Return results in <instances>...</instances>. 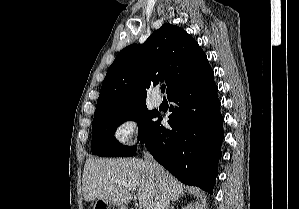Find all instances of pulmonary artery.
<instances>
[{"mask_svg": "<svg viewBox=\"0 0 299 209\" xmlns=\"http://www.w3.org/2000/svg\"><path fill=\"white\" fill-rule=\"evenodd\" d=\"M151 102H152L153 106L159 107L162 103V99L159 96H157L156 94H154L151 97Z\"/></svg>", "mask_w": 299, "mask_h": 209, "instance_id": "1", "label": "pulmonary artery"}]
</instances>
